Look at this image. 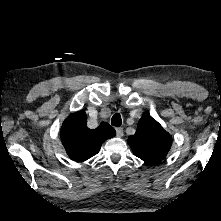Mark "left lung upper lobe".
<instances>
[{
	"label": "left lung upper lobe",
	"instance_id": "left-lung-upper-lobe-1",
	"mask_svg": "<svg viewBox=\"0 0 221 221\" xmlns=\"http://www.w3.org/2000/svg\"><path fill=\"white\" fill-rule=\"evenodd\" d=\"M128 143L134 155L148 164L163 160L172 144L171 135L150 116H143L138 122L137 131L129 136Z\"/></svg>",
	"mask_w": 221,
	"mask_h": 221
}]
</instances>
